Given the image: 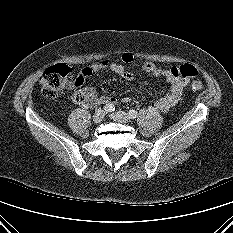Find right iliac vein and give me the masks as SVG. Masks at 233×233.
I'll return each instance as SVG.
<instances>
[{"label":"right iliac vein","mask_w":233,"mask_h":233,"mask_svg":"<svg viewBox=\"0 0 233 233\" xmlns=\"http://www.w3.org/2000/svg\"><path fill=\"white\" fill-rule=\"evenodd\" d=\"M105 113L102 110L96 111V113L93 115V121L95 123H100L104 118Z\"/></svg>","instance_id":"obj_1"}]
</instances>
